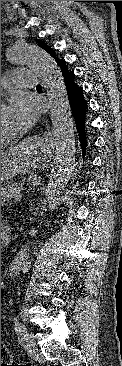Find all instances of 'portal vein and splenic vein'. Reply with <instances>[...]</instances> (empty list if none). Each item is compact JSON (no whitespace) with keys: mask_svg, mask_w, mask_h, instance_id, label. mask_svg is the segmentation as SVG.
Instances as JSON below:
<instances>
[{"mask_svg":"<svg viewBox=\"0 0 122 366\" xmlns=\"http://www.w3.org/2000/svg\"><path fill=\"white\" fill-rule=\"evenodd\" d=\"M17 197H21L20 190L15 191V193L10 196V199H16Z\"/></svg>","mask_w":122,"mask_h":366,"instance_id":"18ae733b","label":"portal vein and splenic vein"}]
</instances>
